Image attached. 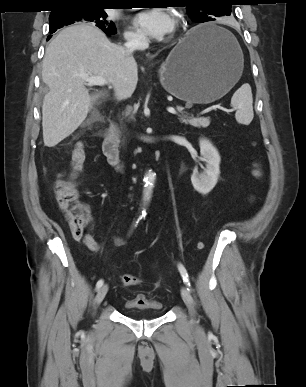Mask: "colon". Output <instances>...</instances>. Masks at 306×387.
Returning a JSON list of instances; mask_svg holds the SVG:
<instances>
[{
	"label": "colon",
	"instance_id": "obj_1",
	"mask_svg": "<svg viewBox=\"0 0 306 387\" xmlns=\"http://www.w3.org/2000/svg\"><path fill=\"white\" fill-rule=\"evenodd\" d=\"M85 158V145L79 142L72 151L71 173L67 178L58 180L54 188L56 201L64 212L71 234L75 238H81L88 226L85 210L79 202V193L75 183L76 176L82 169ZM253 174L257 179L261 177L262 172L258 165L255 166ZM120 282L125 287H132L140 284L142 280L139 276L124 274L120 276Z\"/></svg>",
	"mask_w": 306,
	"mask_h": 387
}]
</instances>
